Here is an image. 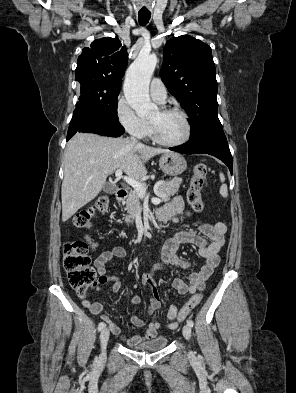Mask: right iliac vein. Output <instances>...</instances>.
Returning a JSON list of instances; mask_svg holds the SVG:
<instances>
[{"mask_svg":"<svg viewBox=\"0 0 296 393\" xmlns=\"http://www.w3.org/2000/svg\"><path fill=\"white\" fill-rule=\"evenodd\" d=\"M109 335H110L109 329L107 327L103 328L100 333V343H101V350H102L101 356L102 357L105 356L107 342L109 340Z\"/></svg>","mask_w":296,"mask_h":393,"instance_id":"obj_1","label":"right iliac vein"}]
</instances>
